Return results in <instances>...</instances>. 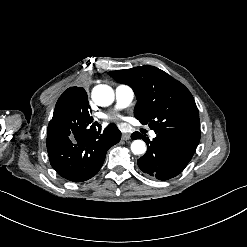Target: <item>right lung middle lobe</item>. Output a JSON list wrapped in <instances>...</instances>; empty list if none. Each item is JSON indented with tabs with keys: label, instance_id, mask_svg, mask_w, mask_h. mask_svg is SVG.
Wrapping results in <instances>:
<instances>
[{
	"label": "right lung middle lobe",
	"instance_id": "1",
	"mask_svg": "<svg viewBox=\"0 0 247 247\" xmlns=\"http://www.w3.org/2000/svg\"><path fill=\"white\" fill-rule=\"evenodd\" d=\"M89 109L87 93L84 88H68L56 103L47 133L54 136H63L79 118L89 116Z\"/></svg>",
	"mask_w": 247,
	"mask_h": 247
}]
</instances>
